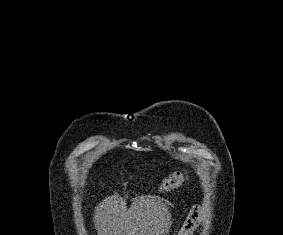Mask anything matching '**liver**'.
I'll use <instances>...</instances> for the list:
<instances>
[{
	"label": "liver",
	"instance_id": "obj_1",
	"mask_svg": "<svg viewBox=\"0 0 283 235\" xmlns=\"http://www.w3.org/2000/svg\"><path fill=\"white\" fill-rule=\"evenodd\" d=\"M170 217L166 203L154 196L136 197L127 209L114 194L96 207L94 223L98 235H165Z\"/></svg>",
	"mask_w": 283,
	"mask_h": 235
}]
</instances>
